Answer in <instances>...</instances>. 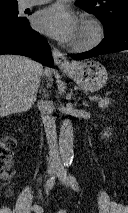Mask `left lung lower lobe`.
Wrapping results in <instances>:
<instances>
[{"label": "left lung lower lobe", "instance_id": "left-lung-lower-lobe-1", "mask_svg": "<svg viewBox=\"0 0 128 213\" xmlns=\"http://www.w3.org/2000/svg\"><path fill=\"white\" fill-rule=\"evenodd\" d=\"M128 50V21L105 31L102 42L90 51L81 54H70L75 60H83L100 54Z\"/></svg>", "mask_w": 128, "mask_h": 213}]
</instances>
